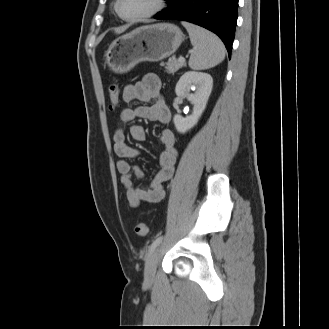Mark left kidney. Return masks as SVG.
Returning <instances> with one entry per match:
<instances>
[{"label":"left kidney","mask_w":329,"mask_h":329,"mask_svg":"<svg viewBox=\"0 0 329 329\" xmlns=\"http://www.w3.org/2000/svg\"><path fill=\"white\" fill-rule=\"evenodd\" d=\"M212 86L213 79L207 73L188 71L180 77L175 93L178 97L187 98L194 104V108L192 114L186 118L174 115L173 122L179 133L184 134L197 124L206 108ZM191 90L194 93H190Z\"/></svg>","instance_id":"obj_1"}]
</instances>
